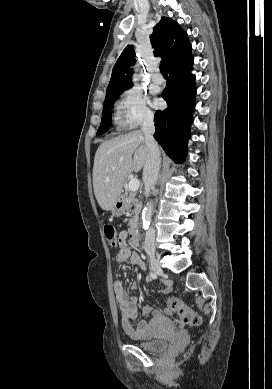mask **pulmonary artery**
Segmentation results:
<instances>
[{
	"instance_id": "1",
	"label": "pulmonary artery",
	"mask_w": 272,
	"mask_h": 389,
	"mask_svg": "<svg viewBox=\"0 0 272 389\" xmlns=\"http://www.w3.org/2000/svg\"><path fill=\"white\" fill-rule=\"evenodd\" d=\"M151 79L155 84L163 83V77L158 72L153 73Z\"/></svg>"
}]
</instances>
